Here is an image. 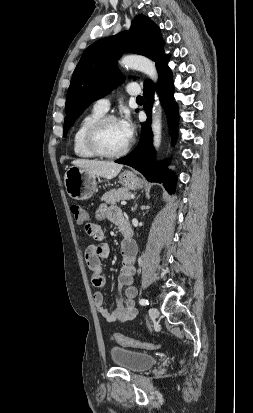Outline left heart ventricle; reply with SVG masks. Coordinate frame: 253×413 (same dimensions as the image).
Wrapping results in <instances>:
<instances>
[{
    "label": "left heart ventricle",
    "instance_id": "1",
    "mask_svg": "<svg viewBox=\"0 0 253 413\" xmlns=\"http://www.w3.org/2000/svg\"><path fill=\"white\" fill-rule=\"evenodd\" d=\"M128 140L121 132L117 121L106 123L99 133V143L103 150L116 152L121 150Z\"/></svg>",
    "mask_w": 253,
    "mask_h": 413
}]
</instances>
